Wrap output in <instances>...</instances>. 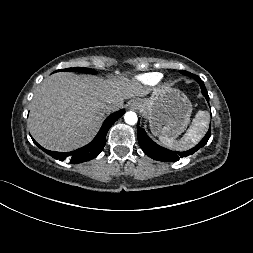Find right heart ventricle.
I'll return each instance as SVG.
<instances>
[{
	"instance_id": "e07e8e85",
	"label": "right heart ventricle",
	"mask_w": 253,
	"mask_h": 253,
	"mask_svg": "<svg viewBox=\"0 0 253 253\" xmlns=\"http://www.w3.org/2000/svg\"><path fill=\"white\" fill-rule=\"evenodd\" d=\"M161 79H162V74L157 73V72H151V73L140 75L137 78V81L140 84L149 87V86H153L157 84Z\"/></svg>"
}]
</instances>
